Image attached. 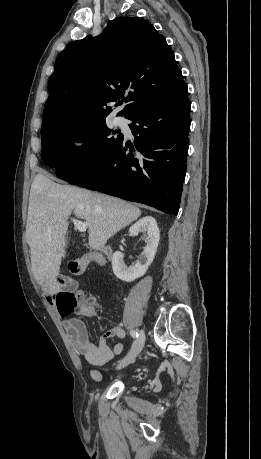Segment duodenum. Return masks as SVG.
<instances>
[{
	"label": "duodenum",
	"mask_w": 261,
	"mask_h": 459,
	"mask_svg": "<svg viewBox=\"0 0 261 459\" xmlns=\"http://www.w3.org/2000/svg\"><path fill=\"white\" fill-rule=\"evenodd\" d=\"M103 253L106 254L107 256L111 255V249L109 247H104L103 248Z\"/></svg>",
	"instance_id": "obj_1"
}]
</instances>
